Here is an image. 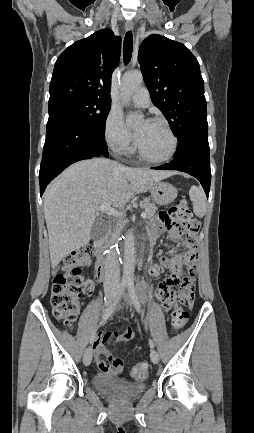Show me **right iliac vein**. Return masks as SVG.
<instances>
[{
    "label": "right iliac vein",
    "mask_w": 254,
    "mask_h": 433,
    "mask_svg": "<svg viewBox=\"0 0 254 433\" xmlns=\"http://www.w3.org/2000/svg\"><path fill=\"white\" fill-rule=\"evenodd\" d=\"M115 296H116V291H111V292H109V293L106 294V296H105V300H106L105 304H106V306H109L112 303V301L114 300ZM91 361H92V349L89 347L84 352L83 363L86 366H88V365H90Z\"/></svg>",
    "instance_id": "63e3f726"
}]
</instances>
